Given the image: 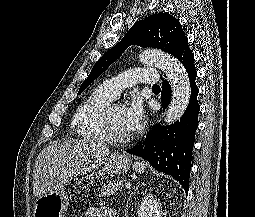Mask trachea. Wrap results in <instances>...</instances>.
<instances>
[{
	"label": "trachea",
	"mask_w": 255,
	"mask_h": 217,
	"mask_svg": "<svg viewBox=\"0 0 255 217\" xmlns=\"http://www.w3.org/2000/svg\"><path fill=\"white\" fill-rule=\"evenodd\" d=\"M152 88L153 89H160V86L155 84V85L152 86Z\"/></svg>",
	"instance_id": "obj_1"
}]
</instances>
